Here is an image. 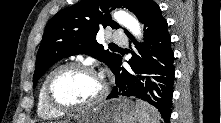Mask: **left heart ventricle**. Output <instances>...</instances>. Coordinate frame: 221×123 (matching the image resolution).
I'll list each match as a JSON object with an SVG mask.
<instances>
[{"mask_svg":"<svg viewBox=\"0 0 221 123\" xmlns=\"http://www.w3.org/2000/svg\"><path fill=\"white\" fill-rule=\"evenodd\" d=\"M52 89L57 100L64 104H83L100 94L102 81L93 73L68 69L56 76Z\"/></svg>","mask_w":221,"mask_h":123,"instance_id":"left-heart-ventricle-1","label":"left heart ventricle"}]
</instances>
